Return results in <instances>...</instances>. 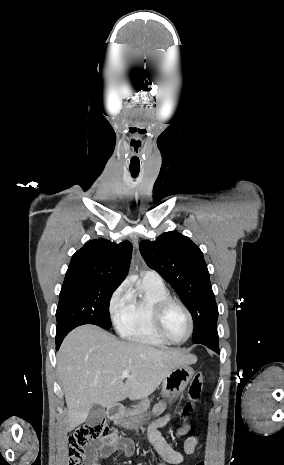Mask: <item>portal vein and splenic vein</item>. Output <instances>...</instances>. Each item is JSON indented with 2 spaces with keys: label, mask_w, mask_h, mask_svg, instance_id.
I'll return each mask as SVG.
<instances>
[{
  "label": "portal vein and splenic vein",
  "mask_w": 284,
  "mask_h": 465,
  "mask_svg": "<svg viewBox=\"0 0 284 465\" xmlns=\"http://www.w3.org/2000/svg\"><path fill=\"white\" fill-rule=\"evenodd\" d=\"M121 377H129V371H127V369H125V371H123Z\"/></svg>",
  "instance_id": "18ae733b"
}]
</instances>
